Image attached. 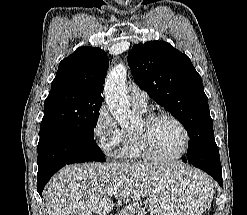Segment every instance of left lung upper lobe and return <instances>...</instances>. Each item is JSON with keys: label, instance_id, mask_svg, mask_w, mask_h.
Listing matches in <instances>:
<instances>
[{"label": "left lung upper lobe", "instance_id": "obj_1", "mask_svg": "<svg viewBox=\"0 0 247 215\" xmlns=\"http://www.w3.org/2000/svg\"><path fill=\"white\" fill-rule=\"evenodd\" d=\"M128 65L135 82L186 128L190 137L187 156L194 145L214 140L208 98L187 55L167 42L149 41L133 46Z\"/></svg>", "mask_w": 247, "mask_h": 215}]
</instances>
